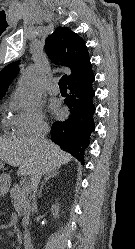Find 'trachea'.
<instances>
[{"mask_svg":"<svg viewBox=\"0 0 135 249\" xmlns=\"http://www.w3.org/2000/svg\"><path fill=\"white\" fill-rule=\"evenodd\" d=\"M59 86H60V89H66L67 88V76L64 75L60 81H59Z\"/></svg>","mask_w":135,"mask_h":249,"instance_id":"obj_1","label":"trachea"}]
</instances>
